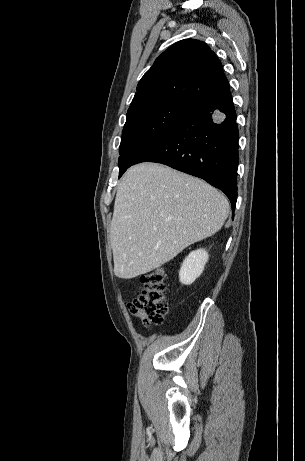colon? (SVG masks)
<instances>
[{
    "label": "colon",
    "instance_id": "obj_1",
    "mask_svg": "<svg viewBox=\"0 0 305 461\" xmlns=\"http://www.w3.org/2000/svg\"><path fill=\"white\" fill-rule=\"evenodd\" d=\"M165 269H155L143 276V287L128 305L129 311L145 325L161 324L168 312Z\"/></svg>",
    "mask_w": 305,
    "mask_h": 461
}]
</instances>
